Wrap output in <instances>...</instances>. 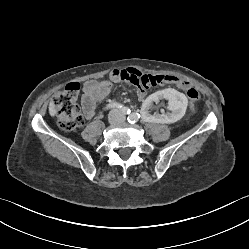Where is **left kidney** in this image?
<instances>
[{
  "label": "left kidney",
  "instance_id": "5707ae66",
  "mask_svg": "<svg viewBox=\"0 0 249 249\" xmlns=\"http://www.w3.org/2000/svg\"><path fill=\"white\" fill-rule=\"evenodd\" d=\"M165 101L166 112L154 113V103ZM188 100L183 93L175 89H165L147 96L143 108L139 109L140 118L146 123H173L179 121L185 114Z\"/></svg>",
  "mask_w": 249,
  "mask_h": 249
}]
</instances>
